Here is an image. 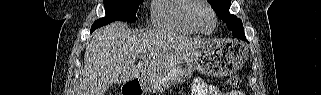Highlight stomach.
I'll return each mask as SVG.
<instances>
[{
  "label": "stomach",
  "instance_id": "obj_1",
  "mask_svg": "<svg viewBox=\"0 0 321 95\" xmlns=\"http://www.w3.org/2000/svg\"><path fill=\"white\" fill-rule=\"evenodd\" d=\"M245 52L235 43L208 41L188 57L163 71L140 80L144 92L164 90L172 84L188 80L194 70L214 77L234 73L243 63Z\"/></svg>",
  "mask_w": 321,
  "mask_h": 95
}]
</instances>
